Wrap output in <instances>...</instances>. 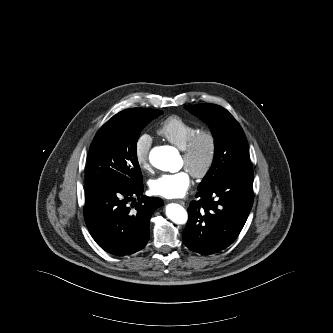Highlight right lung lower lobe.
Instances as JSON below:
<instances>
[{
    "instance_id": "1",
    "label": "right lung lower lobe",
    "mask_w": 333,
    "mask_h": 333,
    "mask_svg": "<svg viewBox=\"0 0 333 333\" xmlns=\"http://www.w3.org/2000/svg\"><path fill=\"white\" fill-rule=\"evenodd\" d=\"M85 184L84 218L97 244L118 256L144 248L150 235V218L163 205L162 199L142 195V183L86 181Z\"/></svg>"
}]
</instances>
